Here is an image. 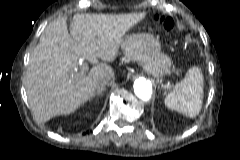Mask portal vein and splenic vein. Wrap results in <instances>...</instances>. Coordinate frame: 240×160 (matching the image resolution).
Here are the masks:
<instances>
[{
  "instance_id": "1",
  "label": "portal vein and splenic vein",
  "mask_w": 240,
  "mask_h": 160,
  "mask_svg": "<svg viewBox=\"0 0 240 160\" xmlns=\"http://www.w3.org/2000/svg\"><path fill=\"white\" fill-rule=\"evenodd\" d=\"M92 61V60H91ZM95 62V61H94ZM76 71V70H74ZM88 71V66L87 65H82L81 71L78 73V76H83L85 73Z\"/></svg>"
}]
</instances>
